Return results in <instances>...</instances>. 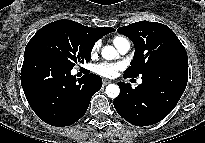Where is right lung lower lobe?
<instances>
[{"label":"right lung lower lobe","mask_w":205,"mask_h":143,"mask_svg":"<svg viewBox=\"0 0 205 143\" xmlns=\"http://www.w3.org/2000/svg\"><path fill=\"white\" fill-rule=\"evenodd\" d=\"M72 68L38 52H26L21 69V85L26 99L45 123L64 127L78 121L87 111L91 97L101 89L102 79L95 74L81 79Z\"/></svg>","instance_id":"98d812e1"}]
</instances>
